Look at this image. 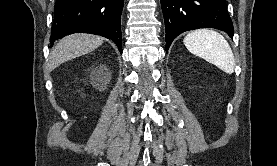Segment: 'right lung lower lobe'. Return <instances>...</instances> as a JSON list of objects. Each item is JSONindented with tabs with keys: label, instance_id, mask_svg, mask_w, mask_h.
Wrapping results in <instances>:
<instances>
[{
	"label": "right lung lower lobe",
	"instance_id": "obj_1",
	"mask_svg": "<svg viewBox=\"0 0 277 166\" xmlns=\"http://www.w3.org/2000/svg\"><path fill=\"white\" fill-rule=\"evenodd\" d=\"M123 2L124 0H57L50 42L72 33H90L113 40L121 52Z\"/></svg>",
	"mask_w": 277,
	"mask_h": 166
}]
</instances>
